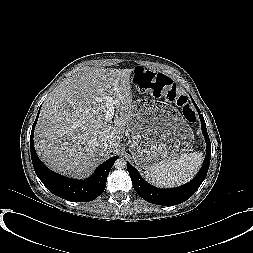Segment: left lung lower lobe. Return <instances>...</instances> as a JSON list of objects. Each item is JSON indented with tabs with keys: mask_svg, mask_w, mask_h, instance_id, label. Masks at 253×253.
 I'll return each mask as SVG.
<instances>
[{
	"mask_svg": "<svg viewBox=\"0 0 253 253\" xmlns=\"http://www.w3.org/2000/svg\"><path fill=\"white\" fill-rule=\"evenodd\" d=\"M193 101V100H192ZM201 120L202 132L205 137L207 143V151L206 157L203 163L202 168L200 169L199 173L191 180L189 183L173 189H159L150 184H148L142 177L140 176L139 172L127 162V169L129 175L132 180L133 187L135 191L146 201L157 204V205H177L180 204L187 199H189L196 190L200 187L203 180L205 179L211 158V143L207 133L205 120L203 115L200 114V110L193 101Z\"/></svg>",
	"mask_w": 253,
	"mask_h": 253,
	"instance_id": "obj_1",
	"label": "left lung lower lobe"
}]
</instances>
